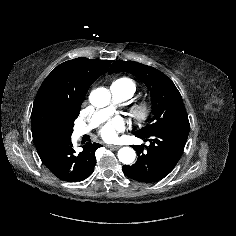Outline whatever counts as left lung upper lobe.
Masks as SVG:
<instances>
[{
    "instance_id": "obj_1",
    "label": "left lung upper lobe",
    "mask_w": 236,
    "mask_h": 236,
    "mask_svg": "<svg viewBox=\"0 0 236 236\" xmlns=\"http://www.w3.org/2000/svg\"><path fill=\"white\" fill-rule=\"evenodd\" d=\"M127 72L138 77L151 94V118L147 125L133 134L147 137L172 125L187 123L188 115L182 97L174 83L159 70L132 61H115L109 74Z\"/></svg>"
}]
</instances>
